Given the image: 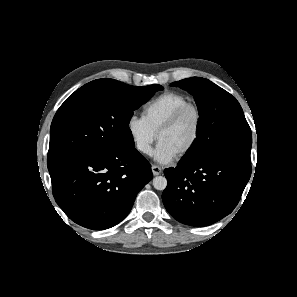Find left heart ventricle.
Instances as JSON below:
<instances>
[{
	"instance_id": "b2bd125f",
	"label": "left heart ventricle",
	"mask_w": 297,
	"mask_h": 297,
	"mask_svg": "<svg viewBox=\"0 0 297 297\" xmlns=\"http://www.w3.org/2000/svg\"><path fill=\"white\" fill-rule=\"evenodd\" d=\"M195 129V115L189 112L174 128L162 133L158 140L166 143L179 154L192 140Z\"/></svg>"
}]
</instances>
